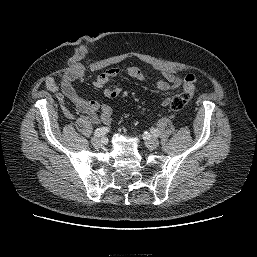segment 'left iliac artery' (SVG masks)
<instances>
[{
  "label": "left iliac artery",
  "mask_w": 257,
  "mask_h": 257,
  "mask_svg": "<svg viewBox=\"0 0 257 257\" xmlns=\"http://www.w3.org/2000/svg\"><path fill=\"white\" fill-rule=\"evenodd\" d=\"M151 133H152L154 136H156V137L159 136V131H158L157 129H155V128H152V129H151Z\"/></svg>",
  "instance_id": "obj_1"
}]
</instances>
